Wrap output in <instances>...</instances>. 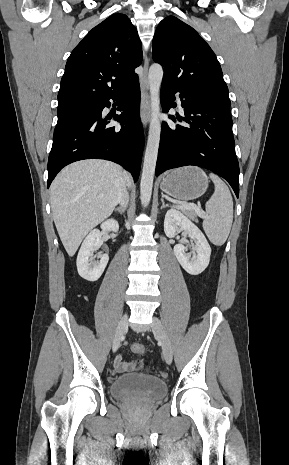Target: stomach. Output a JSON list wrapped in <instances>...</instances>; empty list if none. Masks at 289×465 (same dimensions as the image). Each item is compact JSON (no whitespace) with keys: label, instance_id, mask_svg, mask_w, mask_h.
<instances>
[{"label":"stomach","instance_id":"stomach-1","mask_svg":"<svg viewBox=\"0 0 289 465\" xmlns=\"http://www.w3.org/2000/svg\"><path fill=\"white\" fill-rule=\"evenodd\" d=\"M208 183V177L202 169L186 166L163 176L160 188L176 199L188 201L202 196L208 188Z\"/></svg>","mask_w":289,"mask_h":465}]
</instances>
